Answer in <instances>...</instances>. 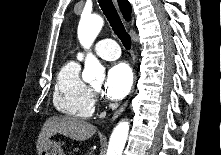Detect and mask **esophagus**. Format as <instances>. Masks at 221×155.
I'll use <instances>...</instances> for the list:
<instances>
[{
  "label": "esophagus",
  "mask_w": 221,
  "mask_h": 155,
  "mask_svg": "<svg viewBox=\"0 0 221 155\" xmlns=\"http://www.w3.org/2000/svg\"><path fill=\"white\" fill-rule=\"evenodd\" d=\"M114 2L117 4V0H114ZM128 104V101H126L112 116L111 122H113L116 118H118L121 113L125 110L126 106Z\"/></svg>",
  "instance_id": "1"
}]
</instances>
